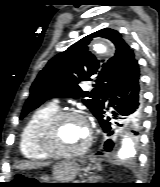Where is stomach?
<instances>
[{"instance_id":"obj_1","label":"stomach","mask_w":160,"mask_h":187,"mask_svg":"<svg viewBox=\"0 0 160 187\" xmlns=\"http://www.w3.org/2000/svg\"><path fill=\"white\" fill-rule=\"evenodd\" d=\"M80 166L74 161H60L56 163L52 171L53 183H69L73 181L78 172Z\"/></svg>"}]
</instances>
